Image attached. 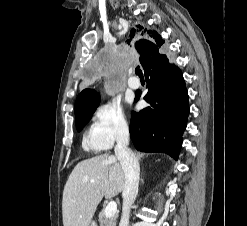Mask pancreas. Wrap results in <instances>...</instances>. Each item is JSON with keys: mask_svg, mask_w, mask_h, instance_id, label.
Masks as SVG:
<instances>
[{"mask_svg": "<svg viewBox=\"0 0 247 226\" xmlns=\"http://www.w3.org/2000/svg\"><path fill=\"white\" fill-rule=\"evenodd\" d=\"M118 215L115 214L112 217L105 216V210L103 209L98 215V221L100 226H116Z\"/></svg>", "mask_w": 247, "mask_h": 226, "instance_id": "pancreas-1", "label": "pancreas"}]
</instances>
